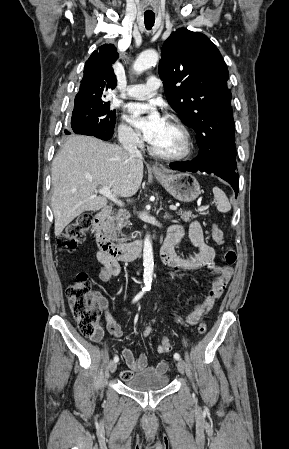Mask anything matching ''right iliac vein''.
I'll list each match as a JSON object with an SVG mask.
<instances>
[{"instance_id": "63e3f726", "label": "right iliac vein", "mask_w": 289, "mask_h": 449, "mask_svg": "<svg viewBox=\"0 0 289 449\" xmlns=\"http://www.w3.org/2000/svg\"><path fill=\"white\" fill-rule=\"evenodd\" d=\"M117 369V363L112 361L109 363V370L111 373H114Z\"/></svg>"}]
</instances>
